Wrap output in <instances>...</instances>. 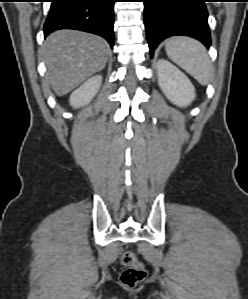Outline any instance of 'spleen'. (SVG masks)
Returning a JSON list of instances; mask_svg holds the SVG:
<instances>
[{
	"label": "spleen",
	"instance_id": "spleen-1",
	"mask_svg": "<svg viewBox=\"0 0 248 299\" xmlns=\"http://www.w3.org/2000/svg\"><path fill=\"white\" fill-rule=\"evenodd\" d=\"M168 57L193 76L201 85H207L211 76V62L205 47L188 37H172L165 43Z\"/></svg>",
	"mask_w": 248,
	"mask_h": 299
}]
</instances>
